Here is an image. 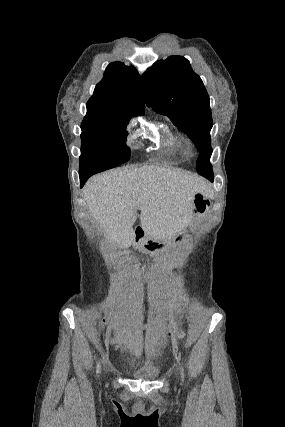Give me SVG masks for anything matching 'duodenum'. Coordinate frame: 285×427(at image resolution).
<instances>
[{"label":"duodenum","instance_id":"410a0bca","mask_svg":"<svg viewBox=\"0 0 285 427\" xmlns=\"http://www.w3.org/2000/svg\"><path fill=\"white\" fill-rule=\"evenodd\" d=\"M146 240V233L142 227H136L132 232V241L137 245H143Z\"/></svg>","mask_w":285,"mask_h":427}]
</instances>
